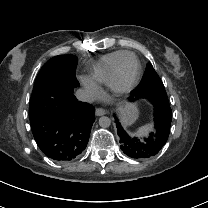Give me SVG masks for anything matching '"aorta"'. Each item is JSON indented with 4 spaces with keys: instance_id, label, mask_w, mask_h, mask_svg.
<instances>
[{
    "instance_id": "762f6f07",
    "label": "aorta",
    "mask_w": 208,
    "mask_h": 208,
    "mask_svg": "<svg viewBox=\"0 0 208 208\" xmlns=\"http://www.w3.org/2000/svg\"><path fill=\"white\" fill-rule=\"evenodd\" d=\"M111 124V120L110 118L106 117V116H102L99 118V125L102 127V128H107L109 127Z\"/></svg>"
}]
</instances>
